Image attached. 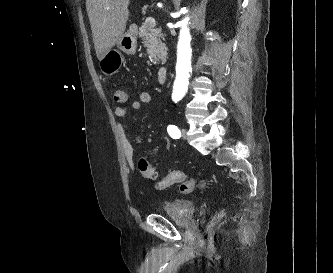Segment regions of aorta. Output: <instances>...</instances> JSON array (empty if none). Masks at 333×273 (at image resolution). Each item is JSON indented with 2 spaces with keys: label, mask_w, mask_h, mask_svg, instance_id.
Listing matches in <instances>:
<instances>
[{
  "label": "aorta",
  "mask_w": 333,
  "mask_h": 273,
  "mask_svg": "<svg viewBox=\"0 0 333 273\" xmlns=\"http://www.w3.org/2000/svg\"><path fill=\"white\" fill-rule=\"evenodd\" d=\"M187 13L186 9L182 10ZM189 17L180 21V33L177 45L176 80L173 87V99L180 100L188 88L189 73L191 70V35L188 27Z\"/></svg>",
  "instance_id": "762f6f07"
}]
</instances>
